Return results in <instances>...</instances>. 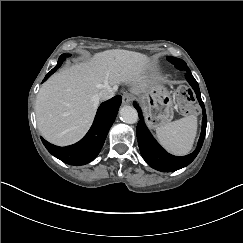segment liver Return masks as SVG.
I'll return each mask as SVG.
<instances>
[{
    "instance_id": "liver-1",
    "label": "liver",
    "mask_w": 243,
    "mask_h": 243,
    "mask_svg": "<svg viewBox=\"0 0 243 243\" xmlns=\"http://www.w3.org/2000/svg\"><path fill=\"white\" fill-rule=\"evenodd\" d=\"M150 69L144 55L109 50L97 54L92 64L62 70L40 89L35 103L37 126L52 143L67 145L79 140L88 130L99 103L98 92L104 85L128 81L136 94H144L154 84L141 72ZM138 85V86H135Z\"/></svg>"
}]
</instances>
